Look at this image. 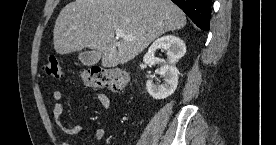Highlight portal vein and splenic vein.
I'll return each instance as SVG.
<instances>
[{
    "label": "portal vein and splenic vein",
    "instance_id": "1",
    "mask_svg": "<svg viewBox=\"0 0 276 145\" xmlns=\"http://www.w3.org/2000/svg\"><path fill=\"white\" fill-rule=\"evenodd\" d=\"M116 37L117 38H125L127 40H132L134 37L130 35H126L122 30H116Z\"/></svg>",
    "mask_w": 276,
    "mask_h": 145
}]
</instances>
